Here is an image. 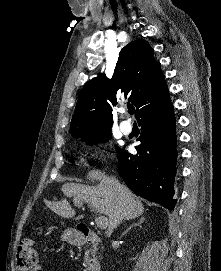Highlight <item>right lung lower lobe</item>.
I'll list each match as a JSON object with an SVG mask.
<instances>
[{
  "instance_id": "1",
  "label": "right lung lower lobe",
  "mask_w": 221,
  "mask_h": 271,
  "mask_svg": "<svg viewBox=\"0 0 221 271\" xmlns=\"http://www.w3.org/2000/svg\"><path fill=\"white\" fill-rule=\"evenodd\" d=\"M141 144L137 155L121 149L118 154L119 172L126 185L137 195L173 209L176 175V123L171 101L147 112L138 119Z\"/></svg>"
}]
</instances>
